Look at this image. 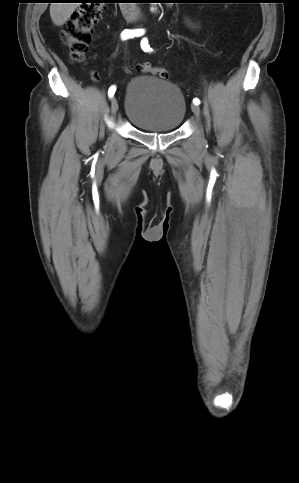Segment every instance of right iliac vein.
I'll return each mask as SVG.
<instances>
[{
	"label": "right iliac vein",
	"instance_id": "obj_1",
	"mask_svg": "<svg viewBox=\"0 0 299 483\" xmlns=\"http://www.w3.org/2000/svg\"><path fill=\"white\" fill-rule=\"evenodd\" d=\"M111 111L113 115H115L116 112L118 111V101L116 97H113L111 100Z\"/></svg>",
	"mask_w": 299,
	"mask_h": 483
}]
</instances>
